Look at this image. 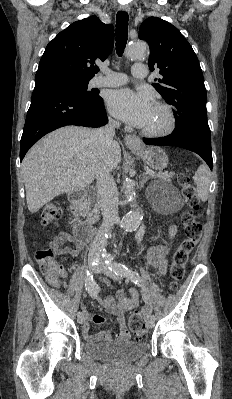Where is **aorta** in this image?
<instances>
[{
    "label": "aorta",
    "mask_w": 232,
    "mask_h": 399,
    "mask_svg": "<svg viewBox=\"0 0 232 399\" xmlns=\"http://www.w3.org/2000/svg\"><path fill=\"white\" fill-rule=\"evenodd\" d=\"M147 49L148 46L145 42L136 41L128 46L126 49V56L133 59H142L144 58ZM134 185V181L130 178H126V180L123 182L124 194L127 200L131 202L130 206L132 207V210L128 212L121 221L122 228L128 232L135 231L143 219L142 213L140 212L135 199L136 194Z\"/></svg>",
    "instance_id": "aorta-1"
}]
</instances>
